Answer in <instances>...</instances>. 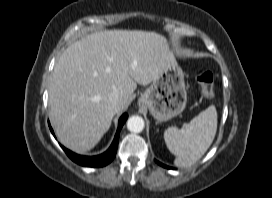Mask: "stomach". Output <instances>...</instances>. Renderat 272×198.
<instances>
[{"mask_svg": "<svg viewBox=\"0 0 272 198\" xmlns=\"http://www.w3.org/2000/svg\"><path fill=\"white\" fill-rule=\"evenodd\" d=\"M186 103L184 73L176 62L159 73L139 100V104L148 108L157 122H165L179 115Z\"/></svg>", "mask_w": 272, "mask_h": 198, "instance_id": "1", "label": "stomach"}]
</instances>
